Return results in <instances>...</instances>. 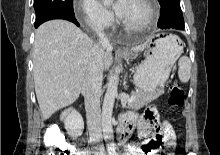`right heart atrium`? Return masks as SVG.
<instances>
[{
    "instance_id": "obj_1",
    "label": "right heart atrium",
    "mask_w": 220,
    "mask_h": 155,
    "mask_svg": "<svg viewBox=\"0 0 220 155\" xmlns=\"http://www.w3.org/2000/svg\"><path fill=\"white\" fill-rule=\"evenodd\" d=\"M75 14L87 29L94 32L108 31L115 24L113 14L104 8L98 0H78Z\"/></svg>"
}]
</instances>
